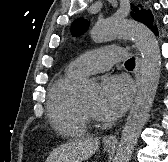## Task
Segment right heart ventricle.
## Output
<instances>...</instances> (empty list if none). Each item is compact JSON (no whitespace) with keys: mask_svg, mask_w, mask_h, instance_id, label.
I'll return each instance as SVG.
<instances>
[{"mask_svg":"<svg viewBox=\"0 0 168 162\" xmlns=\"http://www.w3.org/2000/svg\"><path fill=\"white\" fill-rule=\"evenodd\" d=\"M80 76L69 68L58 75L48 94L47 114L53 128L64 136L77 137L87 132V120L79 108L76 86Z\"/></svg>","mask_w":168,"mask_h":162,"instance_id":"e07e8e85","label":"right heart ventricle"}]
</instances>
